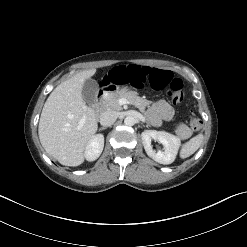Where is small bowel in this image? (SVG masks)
Here are the masks:
<instances>
[{
  "mask_svg": "<svg viewBox=\"0 0 247 247\" xmlns=\"http://www.w3.org/2000/svg\"><path fill=\"white\" fill-rule=\"evenodd\" d=\"M152 112L156 117L163 120H170L174 113L173 108L164 100L158 101L154 105Z\"/></svg>",
  "mask_w": 247,
  "mask_h": 247,
  "instance_id": "small-bowel-1",
  "label": "small bowel"
}]
</instances>
